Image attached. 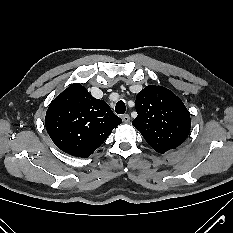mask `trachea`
Returning <instances> with one entry per match:
<instances>
[{"label":"trachea","instance_id":"trachea-1","mask_svg":"<svg viewBox=\"0 0 233 233\" xmlns=\"http://www.w3.org/2000/svg\"><path fill=\"white\" fill-rule=\"evenodd\" d=\"M126 111L125 103L121 100L115 106V112L117 114H124Z\"/></svg>","mask_w":233,"mask_h":233}]
</instances>
